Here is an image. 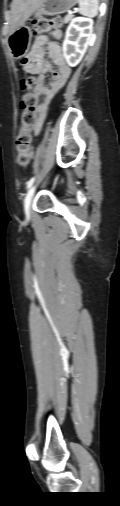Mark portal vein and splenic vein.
<instances>
[{"label": "portal vein and splenic vein", "instance_id": "18ae733b", "mask_svg": "<svg viewBox=\"0 0 120 506\" xmlns=\"http://www.w3.org/2000/svg\"><path fill=\"white\" fill-rule=\"evenodd\" d=\"M68 13H69V14H73L74 12H72V11H69Z\"/></svg>", "mask_w": 120, "mask_h": 506}]
</instances>
